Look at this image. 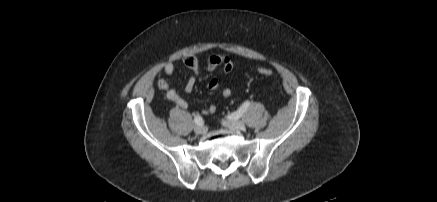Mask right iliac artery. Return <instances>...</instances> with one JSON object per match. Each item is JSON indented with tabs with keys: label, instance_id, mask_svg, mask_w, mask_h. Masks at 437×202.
<instances>
[{
	"label": "right iliac artery",
	"instance_id": "right-iliac-artery-1",
	"mask_svg": "<svg viewBox=\"0 0 437 202\" xmlns=\"http://www.w3.org/2000/svg\"><path fill=\"white\" fill-rule=\"evenodd\" d=\"M194 121L197 125H203V119L200 115H196Z\"/></svg>",
	"mask_w": 437,
	"mask_h": 202
}]
</instances>
